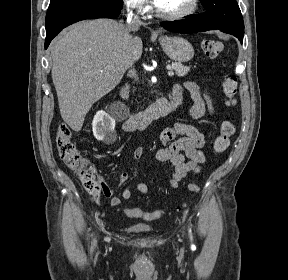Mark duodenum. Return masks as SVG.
I'll use <instances>...</instances> for the list:
<instances>
[{
	"label": "duodenum",
	"mask_w": 288,
	"mask_h": 280,
	"mask_svg": "<svg viewBox=\"0 0 288 280\" xmlns=\"http://www.w3.org/2000/svg\"><path fill=\"white\" fill-rule=\"evenodd\" d=\"M128 92V86L124 85L120 90V96L123 101L127 100ZM180 104L181 101L175 98L171 100L162 98L144 111L137 114H129L123 121V128L126 131L143 130L153 121L174 112Z\"/></svg>",
	"instance_id": "obj_1"
}]
</instances>
